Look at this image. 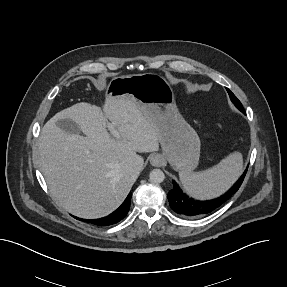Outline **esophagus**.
<instances>
[{
  "label": "esophagus",
  "mask_w": 287,
  "mask_h": 287,
  "mask_svg": "<svg viewBox=\"0 0 287 287\" xmlns=\"http://www.w3.org/2000/svg\"><path fill=\"white\" fill-rule=\"evenodd\" d=\"M162 160H163L162 157H161L160 155H157V154L152 155V156L150 157V163H151L153 166H156V167H158V166L161 165Z\"/></svg>",
  "instance_id": "obj_1"
}]
</instances>
